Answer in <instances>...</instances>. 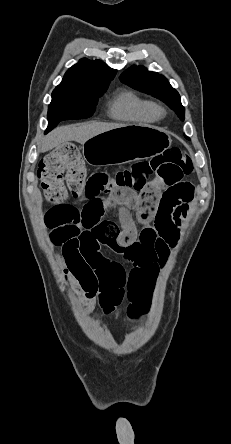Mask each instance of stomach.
I'll use <instances>...</instances> for the list:
<instances>
[{
  "mask_svg": "<svg viewBox=\"0 0 231 444\" xmlns=\"http://www.w3.org/2000/svg\"><path fill=\"white\" fill-rule=\"evenodd\" d=\"M171 143L172 139L165 130L133 124L90 138L83 144L82 153L83 159L90 165L123 164L160 155Z\"/></svg>",
  "mask_w": 231,
  "mask_h": 444,
  "instance_id": "obj_1",
  "label": "stomach"
}]
</instances>
